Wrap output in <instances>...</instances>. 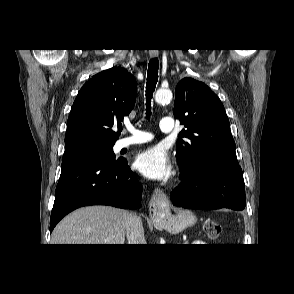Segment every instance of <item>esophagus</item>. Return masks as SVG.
<instances>
[{"label":"esophagus","mask_w":294,"mask_h":294,"mask_svg":"<svg viewBox=\"0 0 294 294\" xmlns=\"http://www.w3.org/2000/svg\"><path fill=\"white\" fill-rule=\"evenodd\" d=\"M158 54V50L150 51V56L152 58L158 56ZM169 209L170 201L168 196L162 189L156 187L152 193L151 201L149 203L150 218L153 221L158 222L163 215L169 212Z\"/></svg>","instance_id":"34e87169"}]
</instances>
